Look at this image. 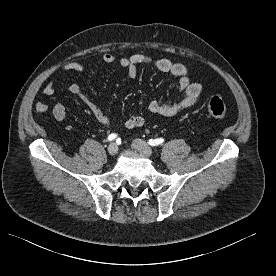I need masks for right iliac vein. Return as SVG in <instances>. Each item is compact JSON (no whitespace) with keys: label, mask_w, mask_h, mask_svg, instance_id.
<instances>
[{"label":"right iliac vein","mask_w":276,"mask_h":276,"mask_svg":"<svg viewBox=\"0 0 276 276\" xmlns=\"http://www.w3.org/2000/svg\"><path fill=\"white\" fill-rule=\"evenodd\" d=\"M108 152L112 156L116 155L118 153V145L116 143L109 144Z\"/></svg>","instance_id":"obj_1"}]
</instances>
